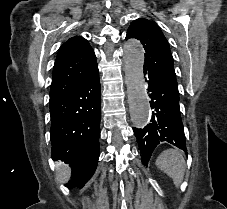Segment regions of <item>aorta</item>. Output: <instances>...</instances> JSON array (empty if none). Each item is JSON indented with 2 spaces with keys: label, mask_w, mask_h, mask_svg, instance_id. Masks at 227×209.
I'll return each instance as SVG.
<instances>
[{
  "label": "aorta",
  "mask_w": 227,
  "mask_h": 209,
  "mask_svg": "<svg viewBox=\"0 0 227 209\" xmlns=\"http://www.w3.org/2000/svg\"><path fill=\"white\" fill-rule=\"evenodd\" d=\"M124 63L131 120L135 127L143 128L149 119V102L144 83V48L135 39L124 44Z\"/></svg>",
  "instance_id": "obj_1"
}]
</instances>
